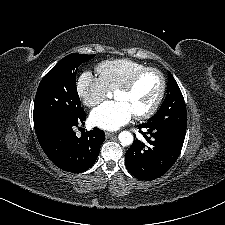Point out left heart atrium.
I'll list each match as a JSON object with an SVG mask.
<instances>
[{
	"label": "left heart atrium",
	"mask_w": 225,
	"mask_h": 225,
	"mask_svg": "<svg viewBox=\"0 0 225 225\" xmlns=\"http://www.w3.org/2000/svg\"><path fill=\"white\" fill-rule=\"evenodd\" d=\"M131 111L121 102H106L91 113L92 123L104 130H116L132 118Z\"/></svg>",
	"instance_id": "left-heart-atrium-1"
}]
</instances>
